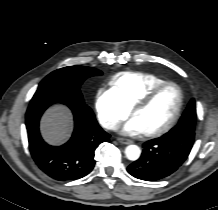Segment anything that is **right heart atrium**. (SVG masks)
I'll return each mask as SVG.
<instances>
[{"label": "right heart atrium", "instance_id": "obj_1", "mask_svg": "<svg viewBox=\"0 0 218 210\" xmlns=\"http://www.w3.org/2000/svg\"><path fill=\"white\" fill-rule=\"evenodd\" d=\"M94 107L100 123L108 130L118 128L131 111L111 88H100L97 91Z\"/></svg>", "mask_w": 218, "mask_h": 210}]
</instances>
